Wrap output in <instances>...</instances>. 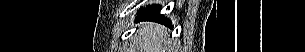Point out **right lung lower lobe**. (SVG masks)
Masks as SVG:
<instances>
[{"instance_id":"obj_1","label":"right lung lower lobe","mask_w":305,"mask_h":52,"mask_svg":"<svg viewBox=\"0 0 305 52\" xmlns=\"http://www.w3.org/2000/svg\"><path fill=\"white\" fill-rule=\"evenodd\" d=\"M143 20L156 21L165 24L166 26L172 27L169 19L165 18L163 15H160L159 6H150L140 10L136 21H143Z\"/></svg>"}]
</instances>
